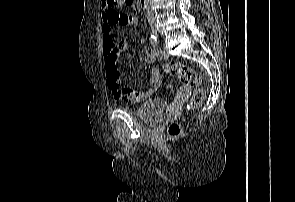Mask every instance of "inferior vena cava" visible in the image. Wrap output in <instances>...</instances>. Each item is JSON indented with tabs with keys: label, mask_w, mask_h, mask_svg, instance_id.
I'll use <instances>...</instances> for the list:
<instances>
[{
	"label": "inferior vena cava",
	"mask_w": 295,
	"mask_h": 202,
	"mask_svg": "<svg viewBox=\"0 0 295 202\" xmlns=\"http://www.w3.org/2000/svg\"><path fill=\"white\" fill-rule=\"evenodd\" d=\"M147 5H146V16L148 20H154L155 19V15H154V11L153 8L151 6V0H146Z\"/></svg>",
	"instance_id": "inferior-vena-cava-1"
}]
</instances>
